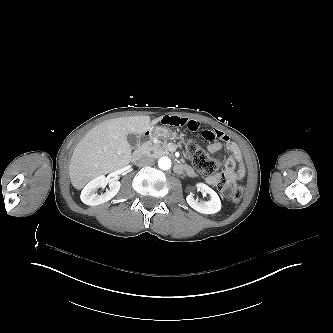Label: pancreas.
<instances>
[{"mask_svg":"<svg viewBox=\"0 0 333 333\" xmlns=\"http://www.w3.org/2000/svg\"><path fill=\"white\" fill-rule=\"evenodd\" d=\"M167 142L162 140H157L156 142L146 146L142 149L144 156H150L153 158H159L166 154H169V150L166 146Z\"/></svg>","mask_w":333,"mask_h":333,"instance_id":"obj_1","label":"pancreas"}]
</instances>
